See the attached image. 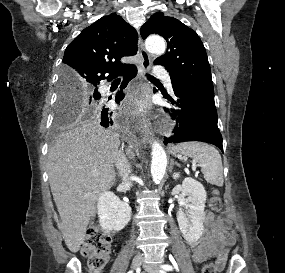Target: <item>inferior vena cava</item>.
Segmentation results:
<instances>
[{
  "label": "inferior vena cava",
  "instance_id": "obj_1",
  "mask_svg": "<svg viewBox=\"0 0 285 273\" xmlns=\"http://www.w3.org/2000/svg\"><path fill=\"white\" fill-rule=\"evenodd\" d=\"M115 165L119 171L120 176L122 177L123 183L130 186L131 182H129L128 177L131 173V166L121 151H118L116 154Z\"/></svg>",
  "mask_w": 285,
  "mask_h": 273
}]
</instances>
